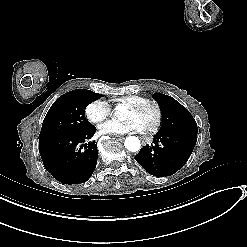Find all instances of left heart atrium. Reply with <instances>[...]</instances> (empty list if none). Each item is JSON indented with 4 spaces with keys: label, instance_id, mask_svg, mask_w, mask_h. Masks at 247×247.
I'll use <instances>...</instances> for the list:
<instances>
[{
    "label": "left heart atrium",
    "instance_id": "obj_1",
    "mask_svg": "<svg viewBox=\"0 0 247 247\" xmlns=\"http://www.w3.org/2000/svg\"><path fill=\"white\" fill-rule=\"evenodd\" d=\"M140 131H142L141 125L135 119L125 123L107 122L99 127V133L101 135H122L126 133H135Z\"/></svg>",
    "mask_w": 247,
    "mask_h": 247
}]
</instances>
